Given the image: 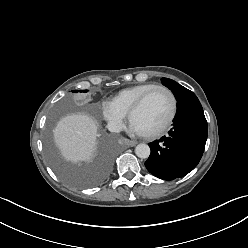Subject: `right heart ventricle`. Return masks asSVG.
<instances>
[{"label": "right heart ventricle", "mask_w": 248, "mask_h": 248, "mask_svg": "<svg viewBox=\"0 0 248 248\" xmlns=\"http://www.w3.org/2000/svg\"><path fill=\"white\" fill-rule=\"evenodd\" d=\"M156 86L158 85L154 83H144L127 87L119 91L112 98L111 103L126 115L145 92Z\"/></svg>", "instance_id": "e07e8e85"}]
</instances>
